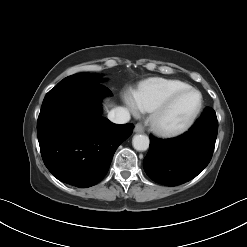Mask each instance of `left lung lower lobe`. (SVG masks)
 <instances>
[{"label":"left lung lower lobe","mask_w":247,"mask_h":247,"mask_svg":"<svg viewBox=\"0 0 247 247\" xmlns=\"http://www.w3.org/2000/svg\"><path fill=\"white\" fill-rule=\"evenodd\" d=\"M217 131L215 111L206 107L183 135L165 140L150 136L149 152L143 161L146 174L155 182L167 186L190 181L209 164Z\"/></svg>","instance_id":"1"}]
</instances>
